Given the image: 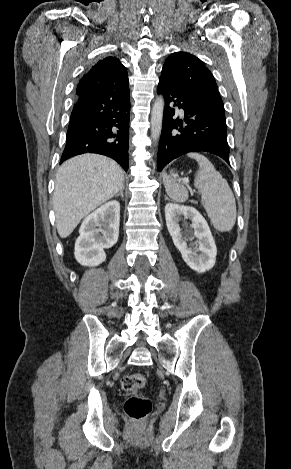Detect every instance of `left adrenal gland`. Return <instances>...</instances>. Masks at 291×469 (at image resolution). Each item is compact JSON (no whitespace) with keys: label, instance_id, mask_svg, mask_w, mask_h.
I'll return each mask as SVG.
<instances>
[{"label":"left adrenal gland","instance_id":"a2214340","mask_svg":"<svg viewBox=\"0 0 291 469\" xmlns=\"http://www.w3.org/2000/svg\"><path fill=\"white\" fill-rule=\"evenodd\" d=\"M165 200H168V197L165 195Z\"/></svg>","mask_w":291,"mask_h":469}]
</instances>
